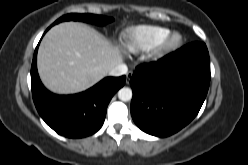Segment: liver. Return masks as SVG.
<instances>
[{
	"label": "liver",
	"instance_id": "liver-1",
	"mask_svg": "<svg viewBox=\"0 0 248 165\" xmlns=\"http://www.w3.org/2000/svg\"><path fill=\"white\" fill-rule=\"evenodd\" d=\"M123 62L121 50L79 22L52 27L38 50V72L52 92L73 94L92 87Z\"/></svg>",
	"mask_w": 248,
	"mask_h": 165
}]
</instances>
